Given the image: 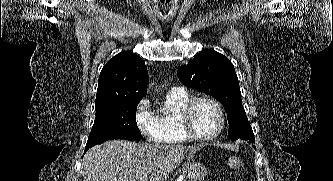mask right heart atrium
<instances>
[{
    "label": "right heart atrium",
    "mask_w": 333,
    "mask_h": 181,
    "mask_svg": "<svg viewBox=\"0 0 333 181\" xmlns=\"http://www.w3.org/2000/svg\"><path fill=\"white\" fill-rule=\"evenodd\" d=\"M134 116L140 132L148 138L155 139L159 125L147 99L139 101L135 108Z\"/></svg>",
    "instance_id": "d8ad5b80"
}]
</instances>
